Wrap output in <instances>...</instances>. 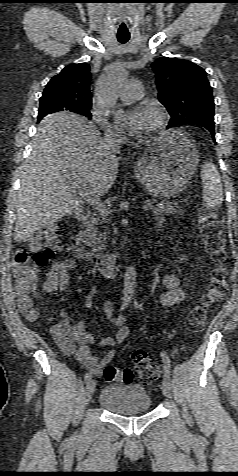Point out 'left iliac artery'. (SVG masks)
<instances>
[{
  "mask_svg": "<svg viewBox=\"0 0 238 476\" xmlns=\"http://www.w3.org/2000/svg\"><path fill=\"white\" fill-rule=\"evenodd\" d=\"M161 356L163 358L164 362V380H166L170 385L171 384V378H170V360L169 357L167 356L166 353H161Z\"/></svg>",
  "mask_w": 238,
  "mask_h": 476,
  "instance_id": "left-iliac-artery-1",
  "label": "left iliac artery"
}]
</instances>
